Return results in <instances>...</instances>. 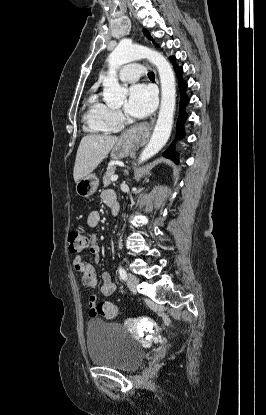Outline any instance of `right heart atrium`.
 <instances>
[{
	"mask_svg": "<svg viewBox=\"0 0 266 415\" xmlns=\"http://www.w3.org/2000/svg\"><path fill=\"white\" fill-rule=\"evenodd\" d=\"M106 116L112 128L118 127L123 121V115L118 109L108 108Z\"/></svg>",
	"mask_w": 266,
	"mask_h": 415,
	"instance_id": "d8ad5b80",
	"label": "right heart atrium"
}]
</instances>
